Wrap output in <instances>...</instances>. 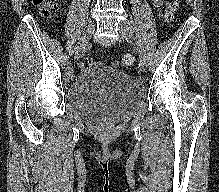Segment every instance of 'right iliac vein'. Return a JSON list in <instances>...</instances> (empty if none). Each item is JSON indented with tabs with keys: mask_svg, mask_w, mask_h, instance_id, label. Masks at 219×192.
I'll return each instance as SVG.
<instances>
[{
	"mask_svg": "<svg viewBox=\"0 0 219 192\" xmlns=\"http://www.w3.org/2000/svg\"><path fill=\"white\" fill-rule=\"evenodd\" d=\"M94 30H95V23L91 21L87 27L86 32L83 34L81 41H80V44L76 50V53L74 56L75 60L80 59L81 56L83 55V53L85 52V50L88 46V43L91 39V36L94 33Z\"/></svg>",
	"mask_w": 219,
	"mask_h": 192,
	"instance_id": "1",
	"label": "right iliac vein"
}]
</instances>
